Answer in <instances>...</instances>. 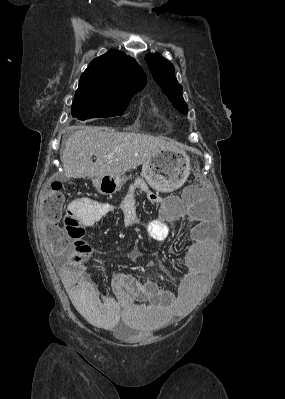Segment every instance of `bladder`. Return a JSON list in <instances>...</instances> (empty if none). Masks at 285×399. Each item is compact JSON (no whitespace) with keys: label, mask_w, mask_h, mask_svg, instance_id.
I'll return each mask as SVG.
<instances>
[{"label":"bladder","mask_w":285,"mask_h":399,"mask_svg":"<svg viewBox=\"0 0 285 399\" xmlns=\"http://www.w3.org/2000/svg\"><path fill=\"white\" fill-rule=\"evenodd\" d=\"M123 325H126V324L123 323ZM112 331H113L114 334L121 335V336H128V335H131V334H137L136 332L132 331L131 329L120 330L118 327L114 328Z\"/></svg>","instance_id":"bladder-1"}]
</instances>
